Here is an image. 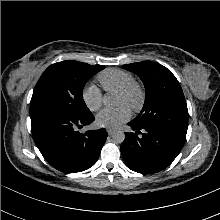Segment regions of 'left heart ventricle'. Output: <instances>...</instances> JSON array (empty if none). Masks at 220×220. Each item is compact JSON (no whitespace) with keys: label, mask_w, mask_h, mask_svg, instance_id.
<instances>
[{"label":"left heart ventricle","mask_w":220,"mask_h":220,"mask_svg":"<svg viewBox=\"0 0 220 220\" xmlns=\"http://www.w3.org/2000/svg\"><path fill=\"white\" fill-rule=\"evenodd\" d=\"M117 104L118 105H123V104L128 105V102L122 95L118 94L117 95Z\"/></svg>","instance_id":"1"}]
</instances>
